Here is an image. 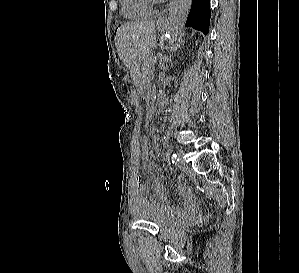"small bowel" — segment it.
Listing matches in <instances>:
<instances>
[{
  "label": "small bowel",
  "mask_w": 299,
  "mask_h": 273,
  "mask_svg": "<svg viewBox=\"0 0 299 273\" xmlns=\"http://www.w3.org/2000/svg\"><path fill=\"white\" fill-rule=\"evenodd\" d=\"M141 161L143 166H152L157 169V166L150 161L149 148H143L141 153ZM154 197L150 196L144 184L138 183L135 196V210L139 211L144 208L155 209L162 217L178 220H191L195 217V206L193 197L188 187L179 185L177 187L183 205L171 206L167 201V191L164 183L158 177H154L152 181Z\"/></svg>",
  "instance_id": "obj_1"
}]
</instances>
